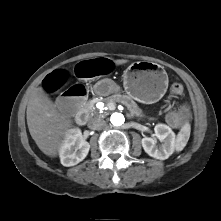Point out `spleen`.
I'll use <instances>...</instances> for the list:
<instances>
[{
	"instance_id": "1",
	"label": "spleen",
	"mask_w": 221,
	"mask_h": 221,
	"mask_svg": "<svg viewBox=\"0 0 221 221\" xmlns=\"http://www.w3.org/2000/svg\"><path fill=\"white\" fill-rule=\"evenodd\" d=\"M191 127L190 124L186 123L180 130V132L177 134L176 138V145L175 149L176 151H182L184 147L186 146L189 137H190Z\"/></svg>"
}]
</instances>
